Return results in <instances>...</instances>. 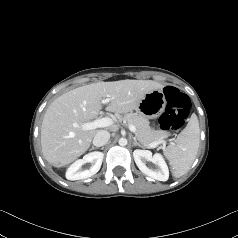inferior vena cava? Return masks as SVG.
<instances>
[{
  "label": "inferior vena cava",
  "instance_id": "1",
  "mask_svg": "<svg viewBox=\"0 0 238 238\" xmlns=\"http://www.w3.org/2000/svg\"><path fill=\"white\" fill-rule=\"evenodd\" d=\"M110 139V133L106 130H100L96 133L93 138V145L96 147H101L105 145Z\"/></svg>",
  "mask_w": 238,
  "mask_h": 238
}]
</instances>
